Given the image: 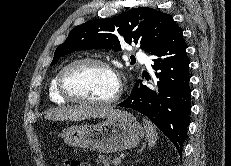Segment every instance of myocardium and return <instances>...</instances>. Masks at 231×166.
<instances>
[{
  "label": "myocardium",
  "instance_id": "myocardium-1",
  "mask_svg": "<svg viewBox=\"0 0 231 166\" xmlns=\"http://www.w3.org/2000/svg\"><path fill=\"white\" fill-rule=\"evenodd\" d=\"M83 65H99L107 70H109L117 79V90L116 93L109 99L105 100H92V99H85L81 97H77L73 95L66 87L65 85V78L69 71H71L73 68ZM57 89L59 94L66 99L67 101L82 104V105H92V106H111L119 101L122 95V82L120 79V76L115 69V67L108 61L101 59V58H94V57H86L81 59H76L69 64H67L65 67L62 68V70L59 72L58 78H57Z\"/></svg>",
  "mask_w": 231,
  "mask_h": 166
}]
</instances>
